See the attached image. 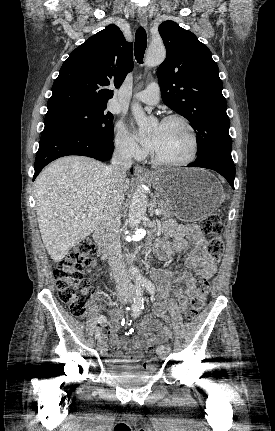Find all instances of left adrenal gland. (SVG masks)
<instances>
[{
    "instance_id": "left-adrenal-gland-1",
    "label": "left adrenal gland",
    "mask_w": 275,
    "mask_h": 431,
    "mask_svg": "<svg viewBox=\"0 0 275 431\" xmlns=\"http://www.w3.org/2000/svg\"><path fill=\"white\" fill-rule=\"evenodd\" d=\"M156 207H157L156 197H154V198H153V201H152V203H151V206H150V208H149L150 216H153V215H154V212H155Z\"/></svg>"
}]
</instances>
